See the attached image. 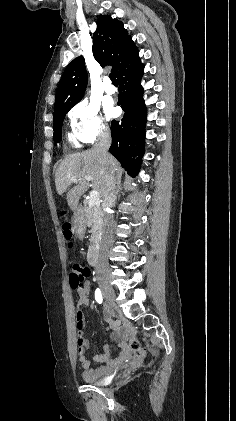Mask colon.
Returning a JSON list of instances; mask_svg holds the SVG:
<instances>
[{
    "mask_svg": "<svg viewBox=\"0 0 236 421\" xmlns=\"http://www.w3.org/2000/svg\"><path fill=\"white\" fill-rule=\"evenodd\" d=\"M71 229V225L66 224L65 233L68 238H70L72 235ZM89 275L90 271L87 267L81 264H74L69 274L71 288L77 291L82 290L87 285ZM129 347L137 355L145 356V351L142 348L141 343L138 339L132 338L129 341ZM83 350L84 349L82 348V344L81 342H79V354L82 353Z\"/></svg>",
    "mask_w": 236,
    "mask_h": 421,
    "instance_id": "obj_1",
    "label": "colon"
}]
</instances>
